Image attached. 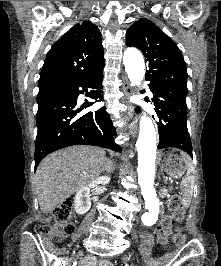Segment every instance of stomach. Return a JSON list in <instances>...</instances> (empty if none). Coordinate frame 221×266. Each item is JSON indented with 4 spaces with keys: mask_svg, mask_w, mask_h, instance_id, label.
Wrapping results in <instances>:
<instances>
[{
    "mask_svg": "<svg viewBox=\"0 0 221 266\" xmlns=\"http://www.w3.org/2000/svg\"><path fill=\"white\" fill-rule=\"evenodd\" d=\"M160 167L170 176L181 178L188 171V166L185 162V156L181 152L176 153L175 149L162 150L158 154Z\"/></svg>",
    "mask_w": 221,
    "mask_h": 266,
    "instance_id": "stomach-1",
    "label": "stomach"
}]
</instances>
